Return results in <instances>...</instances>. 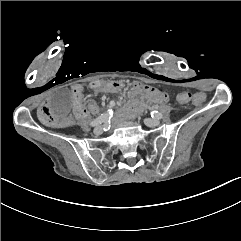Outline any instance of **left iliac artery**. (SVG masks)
<instances>
[{"mask_svg":"<svg viewBox=\"0 0 241 241\" xmlns=\"http://www.w3.org/2000/svg\"><path fill=\"white\" fill-rule=\"evenodd\" d=\"M162 116H163V115H162L160 112H158V111H152V112H151V117H152V118L161 119Z\"/></svg>","mask_w":241,"mask_h":241,"instance_id":"obj_1","label":"left iliac artery"}]
</instances>
